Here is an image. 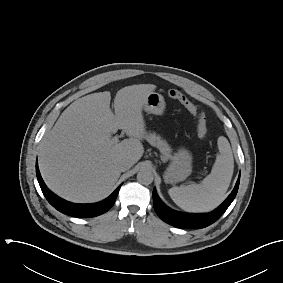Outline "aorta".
Segmentation results:
<instances>
[{
    "label": "aorta",
    "instance_id": "1",
    "mask_svg": "<svg viewBox=\"0 0 283 283\" xmlns=\"http://www.w3.org/2000/svg\"><path fill=\"white\" fill-rule=\"evenodd\" d=\"M137 180L145 185H149L154 180V175L149 168H142L137 173Z\"/></svg>",
    "mask_w": 283,
    "mask_h": 283
}]
</instances>
